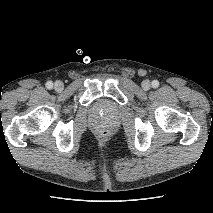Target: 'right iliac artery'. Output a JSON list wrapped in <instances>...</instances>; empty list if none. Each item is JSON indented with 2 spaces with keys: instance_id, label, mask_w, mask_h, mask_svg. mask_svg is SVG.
<instances>
[{
  "instance_id": "right-iliac-artery-1",
  "label": "right iliac artery",
  "mask_w": 213,
  "mask_h": 213,
  "mask_svg": "<svg viewBox=\"0 0 213 213\" xmlns=\"http://www.w3.org/2000/svg\"><path fill=\"white\" fill-rule=\"evenodd\" d=\"M46 87H47L48 89H52V88H53V83H52V81H48V82L46 83Z\"/></svg>"
}]
</instances>
